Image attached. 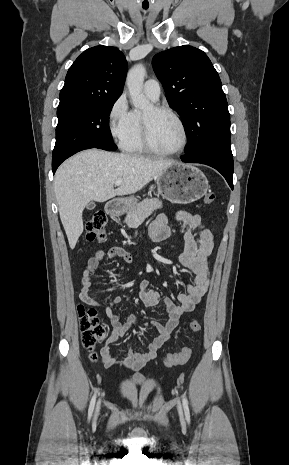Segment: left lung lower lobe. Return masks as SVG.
<instances>
[{
  "label": "left lung lower lobe",
  "mask_w": 289,
  "mask_h": 465,
  "mask_svg": "<svg viewBox=\"0 0 289 465\" xmlns=\"http://www.w3.org/2000/svg\"><path fill=\"white\" fill-rule=\"evenodd\" d=\"M183 162L201 163L218 170L233 189V156L214 151L196 152L180 157Z\"/></svg>",
  "instance_id": "0a47b994"
}]
</instances>
